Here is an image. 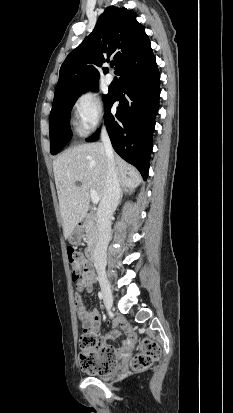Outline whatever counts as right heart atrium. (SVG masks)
<instances>
[{
	"instance_id": "right-heart-atrium-1",
	"label": "right heart atrium",
	"mask_w": 233,
	"mask_h": 413,
	"mask_svg": "<svg viewBox=\"0 0 233 413\" xmlns=\"http://www.w3.org/2000/svg\"><path fill=\"white\" fill-rule=\"evenodd\" d=\"M73 111L79 129L84 134L93 132L104 123L105 113L101 99L92 91H85L76 98Z\"/></svg>"
}]
</instances>
